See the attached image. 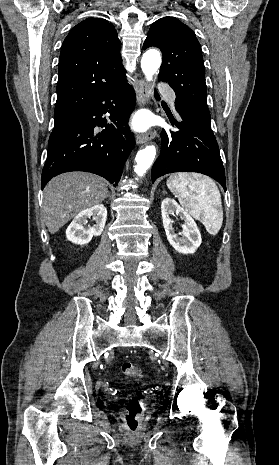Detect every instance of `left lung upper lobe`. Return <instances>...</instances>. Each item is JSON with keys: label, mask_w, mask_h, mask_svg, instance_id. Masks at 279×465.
<instances>
[{"label": "left lung upper lobe", "mask_w": 279, "mask_h": 465, "mask_svg": "<svg viewBox=\"0 0 279 465\" xmlns=\"http://www.w3.org/2000/svg\"><path fill=\"white\" fill-rule=\"evenodd\" d=\"M161 49L163 61L159 80L168 82L176 94V110L190 113L211 124L207 107L205 68L201 46L195 33L174 17L155 21L143 49Z\"/></svg>", "instance_id": "obj_1"}]
</instances>
